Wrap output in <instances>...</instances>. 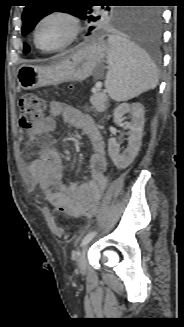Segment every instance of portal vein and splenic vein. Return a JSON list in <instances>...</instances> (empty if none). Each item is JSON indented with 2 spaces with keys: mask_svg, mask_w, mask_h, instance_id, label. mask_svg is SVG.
<instances>
[{
  "mask_svg": "<svg viewBox=\"0 0 184 327\" xmlns=\"http://www.w3.org/2000/svg\"><path fill=\"white\" fill-rule=\"evenodd\" d=\"M101 87H102V83L101 82H97L95 84V87L92 89V92H96V91L100 90Z\"/></svg>",
  "mask_w": 184,
  "mask_h": 327,
  "instance_id": "18ae733b",
  "label": "portal vein and splenic vein"
}]
</instances>
